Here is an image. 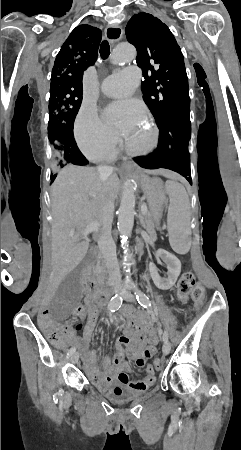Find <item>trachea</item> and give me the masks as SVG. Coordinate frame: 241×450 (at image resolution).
I'll return each mask as SVG.
<instances>
[{
  "label": "trachea",
  "mask_w": 241,
  "mask_h": 450,
  "mask_svg": "<svg viewBox=\"0 0 241 450\" xmlns=\"http://www.w3.org/2000/svg\"><path fill=\"white\" fill-rule=\"evenodd\" d=\"M100 55L104 60L110 55V45L107 40H104L100 45Z\"/></svg>",
  "instance_id": "3493384b"
}]
</instances>
